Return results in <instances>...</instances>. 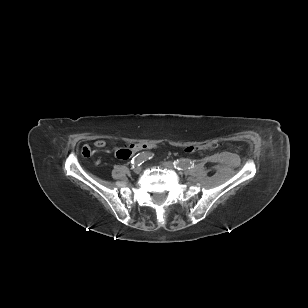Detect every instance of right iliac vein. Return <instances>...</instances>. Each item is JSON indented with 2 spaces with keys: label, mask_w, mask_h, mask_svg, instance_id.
I'll return each mask as SVG.
<instances>
[{
  "label": "right iliac vein",
  "mask_w": 308,
  "mask_h": 308,
  "mask_svg": "<svg viewBox=\"0 0 308 308\" xmlns=\"http://www.w3.org/2000/svg\"><path fill=\"white\" fill-rule=\"evenodd\" d=\"M142 171V167L141 166H136L135 168H134V172L135 173H140Z\"/></svg>",
  "instance_id": "1"
}]
</instances>
